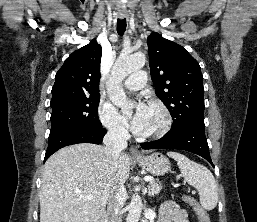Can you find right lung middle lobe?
Instances as JSON below:
<instances>
[{
    "instance_id": "1",
    "label": "right lung middle lobe",
    "mask_w": 257,
    "mask_h": 222,
    "mask_svg": "<svg viewBox=\"0 0 257 222\" xmlns=\"http://www.w3.org/2000/svg\"><path fill=\"white\" fill-rule=\"evenodd\" d=\"M99 101L100 95L51 101L50 134L67 128H102L97 114Z\"/></svg>"
}]
</instances>
